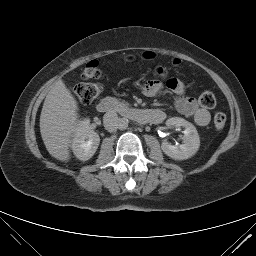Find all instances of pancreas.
I'll list each match as a JSON object with an SVG mask.
<instances>
[{
	"label": "pancreas",
	"instance_id": "obj_1",
	"mask_svg": "<svg viewBox=\"0 0 256 256\" xmlns=\"http://www.w3.org/2000/svg\"><path fill=\"white\" fill-rule=\"evenodd\" d=\"M125 105H128L126 102H122L119 106L123 107Z\"/></svg>",
	"mask_w": 256,
	"mask_h": 256
}]
</instances>
